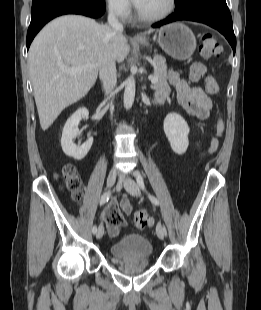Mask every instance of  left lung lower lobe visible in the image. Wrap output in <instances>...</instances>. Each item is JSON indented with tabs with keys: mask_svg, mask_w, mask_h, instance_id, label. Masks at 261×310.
Returning <instances> with one entry per match:
<instances>
[{
	"mask_svg": "<svg viewBox=\"0 0 261 310\" xmlns=\"http://www.w3.org/2000/svg\"><path fill=\"white\" fill-rule=\"evenodd\" d=\"M189 20L204 23L222 33L233 52L236 50V38L232 26V18L226 0H194L188 6L168 16L166 19L153 25L154 28L175 22Z\"/></svg>",
	"mask_w": 261,
	"mask_h": 310,
	"instance_id": "left-lung-lower-lobe-1",
	"label": "left lung lower lobe"
}]
</instances>
